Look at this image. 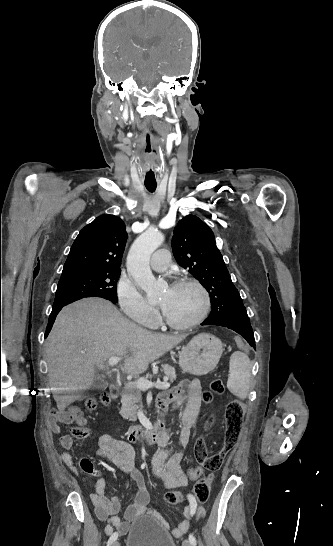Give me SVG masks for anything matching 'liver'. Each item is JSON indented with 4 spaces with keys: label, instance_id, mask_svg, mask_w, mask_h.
<instances>
[{
    "label": "liver",
    "instance_id": "6515ba94",
    "mask_svg": "<svg viewBox=\"0 0 333 546\" xmlns=\"http://www.w3.org/2000/svg\"><path fill=\"white\" fill-rule=\"evenodd\" d=\"M185 338L183 334L147 331L104 299L88 298L67 305L46 342L48 376L58 410L62 412L77 399L73 392L92 386L96 369H106L110 357L124 359L122 370L139 375Z\"/></svg>",
    "mask_w": 333,
    "mask_h": 546
}]
</instances>
